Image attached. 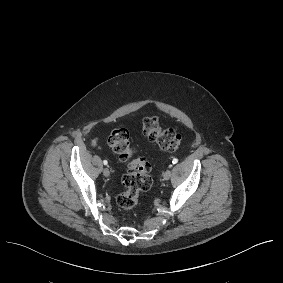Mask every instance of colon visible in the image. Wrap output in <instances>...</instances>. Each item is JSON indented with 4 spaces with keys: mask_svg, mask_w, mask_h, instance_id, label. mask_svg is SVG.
Wrapping results in <instances>:
<instances>
[{
    "mask_svg": "<svg viewBox=\"0 0 283 283\" xmlns=\"http://www.w3.org/2000/svg\"><path fill=\"white\" fill-rule=\"evenodd\" d=\"M141 130L149 141L164 150L178 151L183 147L181 135L173 129L161 127L155 116L144 118ZM108 144L119 160L127 163V172L122 178L124 190L117 195L116 202L123 211L131 212L138 204L140 193L152 186L151 165L146 157L136 155L129 131L124 125H118L111 131Z\"/></svg>",
    "mask_w": 283,
    "mask_h": 283,
    "instance_id": "1",
    "label": "colon"
}]
</instances>
